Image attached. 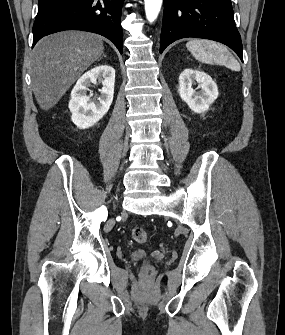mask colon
<instances>
[{"label":"colon","mask_w":285,"mask_h":335,"mask_svg":"<svg viewBox=\"0 0 285 335\" xmlns=\"http://www.w3.org/2000/svg\"><path fill=\"white\" fill-rule=\"evenodd\" d=\"M132 237L135 242L139 244H144L148 241V234L147 232L141 227H135L132 230ZM153 272V267L150 264H146L143 267V274L145 276L151 275Z\"/></svg>","instance_id":"colon-1"}]
</instances>
